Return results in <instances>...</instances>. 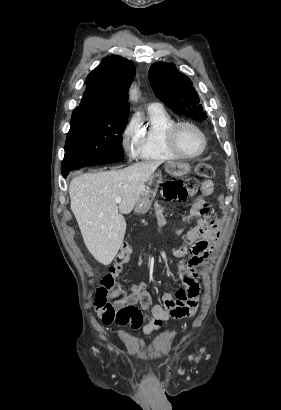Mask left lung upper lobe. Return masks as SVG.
I'll list each match as a JSON object with an SVG mask.
<instances>
[{
  "mask_svg": "<svg viewBox=\"0 0 281 410\" xmlns=\"http://www.w3.org/2000/svg\"><path fill=\"white\" fill-rule=\"evenodd\" d=\"M148 74L155 95L175 113L197 121L206 119L191 80L178 72L173 64L155 63Z\"/></svg>",
  "mask_w": 281,
  "mask_h": 410,
  "instance_id": "5c2ea615",
  "label": "left lung upper lobe"
}]
</instances>
